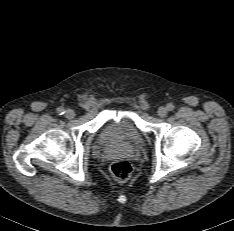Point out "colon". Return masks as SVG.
Instances as JSON below:
<instances>
[{
  "instance_id": "colon-1",
  "label": "colon",
  "mask_w": 234,
  "mask_h": 231,
  "mask_svg": "<svg viewBox=\"0 0 234 231\" xmlns=\"http://www.w3.org/2000/svg\"><path fill=\"white\" fill-rule=\"evenodd\" d=\"M112 169L115 177L121 182L128 180L130 177L131 167L127 162H118L113 165Z\"/></svg>"
}]
</instances>
